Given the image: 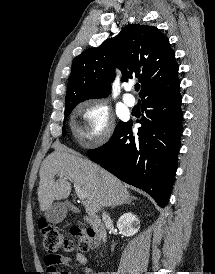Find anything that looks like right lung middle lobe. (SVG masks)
Wrapping results in <instances>:
<instances>
[{
	"mask_svg": "<svg viewBox=\"0 0 215 274\" xmlns=\"http://www.w3.org/2000/svg\"><path fill=\"white\" fill-rule=\"evenodd\" d=\"M76 106V104H72V105H68L65 106V117L67 116V114H69V112ZM120 125V123L118 124ZM117 125V126H118ZM63 133H65V129L63 128Z\"/></svg>",
	"mask_w": 215,
	"mask_h": 274,
	"instance_id": "dd1d6c3e",
	"label": "right lung middle lobe"
}]
</instances>
